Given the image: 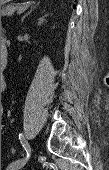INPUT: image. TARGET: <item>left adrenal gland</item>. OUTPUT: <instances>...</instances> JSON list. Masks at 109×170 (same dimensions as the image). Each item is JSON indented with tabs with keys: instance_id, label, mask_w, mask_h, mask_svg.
Listing matches in <instances>:
<instances>
[{
	"instance_id": "1",
	"label": "left adrenal gland",
	"mask_w": 109,
	"mask_h": 170,
	"mask_svg": "<svg viewBox=\"0 0 109 170\" xmlns=\"http://www.w3.org/2000/svg\"><path fill=\"white\" fill-rule=\"evenodd\" d=\"M39 4H40V2H38L36 6H38ZM36 6H35L33 9H35ZM33 9H31L28 13H26V14L23 16L22 22H23V20L25 19V17L28 16V15L33 11Z\"/></svg>"
}]
</instances>
